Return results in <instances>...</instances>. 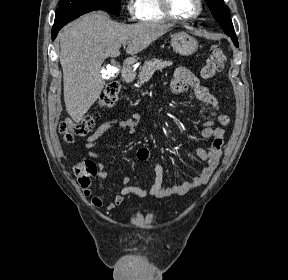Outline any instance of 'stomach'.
<instances>
[{"mask_svg": "<svg viewBox=\"0 0 288 280\" xmlns=\"http://www.w3.org/2000/svg\"><path fill=\"white\" fill-rule=\"evenodd\" d=\"M171 46L176 53L189 56L198 49V42L194 37L182 31L172 36Z\"/></svg>", "mask_w": 288, "mask_h": 280, "instance_id": "stomach-1", "label": "stomach"}]
</instances>
